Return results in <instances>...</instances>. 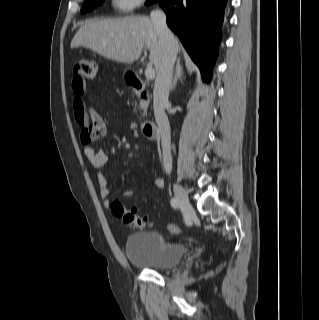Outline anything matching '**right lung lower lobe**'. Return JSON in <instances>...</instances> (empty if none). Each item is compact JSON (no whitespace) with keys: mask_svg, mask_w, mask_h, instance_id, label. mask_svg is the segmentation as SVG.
<instances>
[{"mask_svg":"<svg viewBox=\"0 0 319 320\" xmlns=\"http://www.w3.org/2000/svg\"><path fill=\"white\" fill-rule=\"evenodd\" d=\"M167 15V24L175 32L202 78L210 80L218 54L221 26L227 0H155Z\"/></svg>","mask_w":319,"mask_h":320,"instance_id":"1","label":"right lung lower lobe"}]
</instances>
